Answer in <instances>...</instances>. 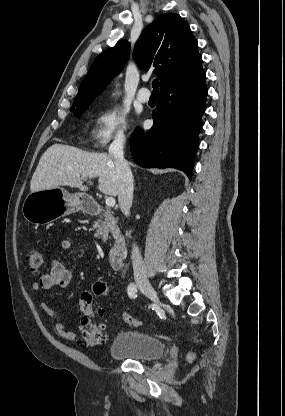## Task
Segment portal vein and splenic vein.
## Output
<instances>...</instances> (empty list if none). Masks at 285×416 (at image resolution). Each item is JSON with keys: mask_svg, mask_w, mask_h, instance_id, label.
Instances as JSON below:
<instances>
[{"mask_svg": "<svg viewBox=\"0 0 285 416\" xmlns=\"http://www.w3.org/2000/svg\"><path fill=\"white\" fill-rule=\"evenodd\" d=\"M77 178H80V176H77ZM81 178L82 180H85V176H81ZM105 202H106V206H109V208H113V206H115L116 204L114 198H106Z\"/></svg>", "mask_w": 285, "mask_h": 416, "instance_id": "portal-vein-and-splenic-vein-1", "label": "portal vein and splenic vein"}]
</instances>
